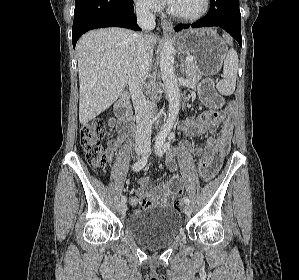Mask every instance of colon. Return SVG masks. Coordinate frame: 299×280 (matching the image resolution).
I'll return each mask as SVG.
<instances>
[{"mask_svg":"<svg viewBox=\"0 0 299 280\" xmlns=\"http://www.w3.org/2000/svg\"><path fill=\"white\" fill-rule=\"evenodd\" d=\"M200 120L211 121L218 125L224 120V113L220 109H215L201 115ZM104 136V125L100 121L88 122L80 129V144L84 150L86 161L97 170H105L109 163L110 157L104 151L101 143ZM198 168L200 173L207 177L209 173L207 161L201 159ZM182 207L181 201L174 203L176 210L180 211Z\"/></svg>","mask_w":299,"mask_h":280,"instance_id":"5ec220e1","label":"colon"}]
</instances>
